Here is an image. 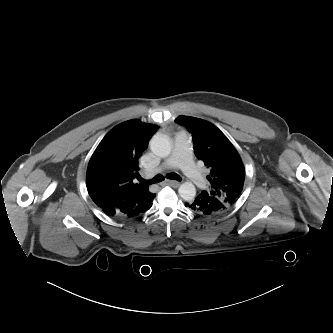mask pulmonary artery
Masks as SVG:
<instances>
[{"mask_svg":"<svg viewBox=\"0 0 333 333\" xmlns=\"http://www.w3.org/2000/svg\"><path fill=\"white\" fill-rule=\"evenodd\" d=\"M174 167H180L197 187H203L205 185L206 179L192 160L190 138L184 131L176 134L172 155L165 159L155 169V172H160Z\"/></svg>","mask_w":333,"mask_h":333,"instance_id":"1","label":"pulmonary artery"}]
</instances>
